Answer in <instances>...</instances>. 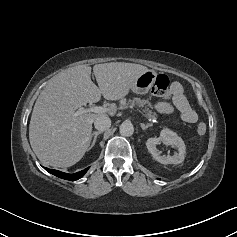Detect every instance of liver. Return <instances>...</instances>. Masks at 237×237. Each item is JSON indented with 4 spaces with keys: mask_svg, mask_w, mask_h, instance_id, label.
<instances>
[{
    "mask_svg": "<svg viewBox=\"0 0 237 237\" xmlns=\"http://www.w3.org/2000/svg\"><path fill=\"white\" fill-rule=\"evenodd\" d=\"M92 68L79 65L66 69L47 83L33 108L29 140L41 163L54 167H70L84 156L89 147L92 123L106 113L73 114L87 103H96L101 95L107 100L125 97L136 79L147 67L124 62L96 64ZM108 114L113 116L116 107Z\"/></svg>",
    "mask_w": 237,
    "mask_h": 237,
    "instance_id": "6515ba94",
    "label": "liver"
}]
</instances>
